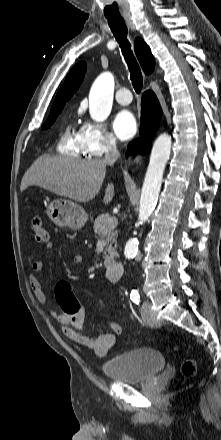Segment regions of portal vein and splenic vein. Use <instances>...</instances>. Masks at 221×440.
I'll use <instances>...</instances> for the list:
<instances>
[{
	"mask_svg": "<svg viewBox=\"0 0 221 440\" xmlns=\"http://www.w3.org/2000/svg\"><path fill=\"white\" fill-rule=\"evenodd\" d=\"M117 224H118L117 217L114 216L109 220V228H115Z\"/></svg>",
	"mask_w": 221,
	"mask_h": 440,
	"instance_id": "1",
	"label": "portal vein and splenic vein"
}]
</instances>
